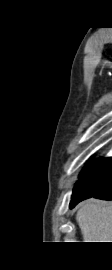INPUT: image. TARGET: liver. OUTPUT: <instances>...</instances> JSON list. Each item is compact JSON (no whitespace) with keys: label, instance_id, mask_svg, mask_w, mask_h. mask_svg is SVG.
I'll use <instances>...</instances> for the list:
<instances>
[{"label":"liver","instance_id":"1","mask_svg":"<svg viewBox=\"0 0 112 270\" xmlns=\"http://www.w3.org/2000/svg\"><path fill=\"white\" fill-rule=\"evenodd\" d=\"M76 221L84 242H112V203L88 200L78 209Z\"/></svg>","mask_w":112,"mask_h":270}]
</instances>
